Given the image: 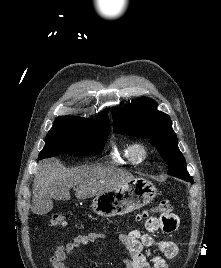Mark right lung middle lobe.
<instances>
[{
  "label": "right lung middle lobe",
  "instance_id": "obj_1",
  "mask_svg": "<svg viewBox=\"0 0 221 268\" xmlns=\"http://www.w3.org/2000/svg\"><path fill=\"white\" fill-rule=\"evenodd\" d=\"M110 127L96 125L71 116L58 117L46 136L40 159L67 153L77 156L99 154L107 140Z\"/></svg>",
  "mask_w": 221,
  "mask_h": 268
}]
</instances>
